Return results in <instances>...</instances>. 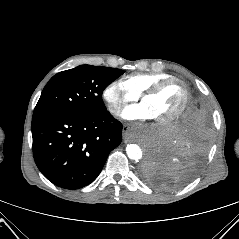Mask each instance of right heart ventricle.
Here are the masks:
<instances>
[{
    "mask_svg": "<svg viewBox=\"0 0 239 239\" xmlns=\"http://www.w3.org/2000/svg\"><path fill=\"white\" fill-rule=\"evenodd\" d=\"M170 77L166 73H135L127 76L123 82L133 92L141 95L151 85Z\"/></svg>",
    "mask_w": 239,
    "mask_h": 239,
    "instance_id": "obj_1",
    "label": "right heart ventricle"
}]
</instances>
